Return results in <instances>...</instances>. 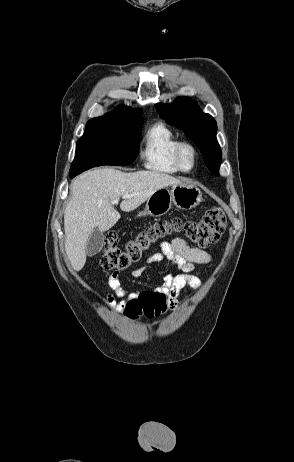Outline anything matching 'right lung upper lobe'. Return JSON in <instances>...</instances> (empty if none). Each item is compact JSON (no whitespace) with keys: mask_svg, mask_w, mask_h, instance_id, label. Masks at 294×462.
Instances as JSON below:
<instances>
[{"mask_svg":"<svg viewBox=\"0 0 294 462\" xmlns=\"http://www.w3.org/2000/svg\"><path fill=\"white\" fill-rule=\"evenodd\" d=\"M140 114H141V111H139V110H132L131 108H128L126 106H119L114 110V112L108 113L105 116H115V117H121V118H134V117H139Z\"/></svg>","mask_w":294,"mask_h":462,"instance_id":"cb5924a9","label":"right lung upper lobe"}]
</instances>
